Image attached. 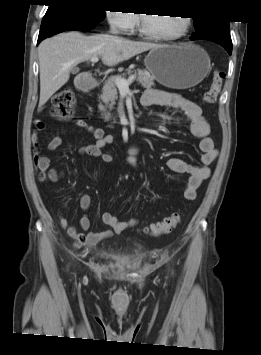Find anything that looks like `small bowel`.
Listing matches in <instances>:
<instances>
[{
    "label": "small bowel",
    "instance_id": "c3829d8e",
    "mask_svg": "<svg viewBox=\"0 0 261 355\" xmlns=\"http://www.w3.org/2000/svg\"><path fill=\"white\" fill-rule=\"evenodd\" d=\"M141 102L144 106L162 105L178 108L189 118L190 132L199 140L198 147L201 152L199 164L192 165L175 156L168 157L166 164L172 171L189 174L183 194L186 200L195 199L198 187L210 176L211 171L209 165L212 164L217 157V150L214 147L212 139L209 137V124L203 116L201 107L196 102L186 99L181 95L153 88H149L144 92ZM74 124L79 131L88 132L95 139L93 144L82 146L79 149V152L83 155L101 158L104 163H110L112 157L107 153H103V148L112 144L115 140V136L112 134H105L101 128L94 127L84 120H76ZM44 127L45 124L42 121H36L34 123V131L32 133L33 161L36 169L39 171L38 181L40 183H57L63 177V172L51 167L50 159L47 155L42 153V146L38 141L39 132L42 131ZM61 144L62 138L60 136H55L49 141L47 148L50 151H54ZM139 151L140 149L136 144L131 145L128 149L127 161L134 168H138L137 157ZM91 203L92 199L89 194L84 193L80 196L79 205L83 211H88ZM58 218L61 226L66 230L68 235L78 243L85 245H95L103 239L111 236L113 233H120L135 227L139 222L136 218L121 221L116 215L110 212H105L102 214L101 219L110 229L102 232H87L91 226V219L89 215L84 214L79 221V228L83 231L82 232L78 227L69 225V222L62 211H58Z\"/></svg>",
    "mask_w": 261,
    "mask_h": 355
}]
</instances>
